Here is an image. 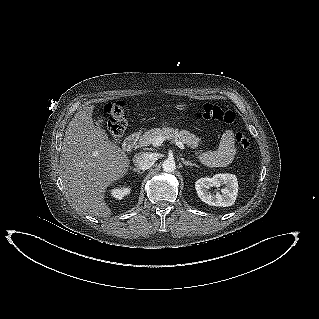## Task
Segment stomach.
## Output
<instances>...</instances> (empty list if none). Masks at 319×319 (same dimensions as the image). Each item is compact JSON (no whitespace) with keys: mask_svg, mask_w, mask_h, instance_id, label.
I'll return each instance as SVG.
<instances>
[{"mask_svg":"<svg viewBox=\"0 0 319 319\" xmlns=\"http://www.w3.org/2000/svg\"><path fill=\"white\" fill-rule=\"evenodd\" d=\"M178 115L179 116H177L175 119L179 120V119H181L184 116L183 112H180ZM161 124L165 127V126L170 124V121L164 120V121L161 122Z\"/></svg>","mask_w":319,"mask_h":319,"instance_id":"obj_1","label":"stomach"}]
</instances>
